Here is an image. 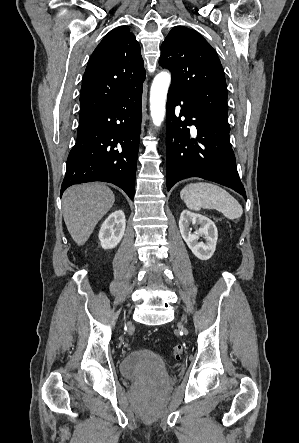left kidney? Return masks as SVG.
<instances>
[{"label": "left kidney", "mask_w": 299, "mask_h": 443, "mask_svg": "<svg viewBox=\"0 0 299 443\" xmlns=\"http://www.w3.org/2000/svg\"><path fill=\"white\" fill-rule=\"evenodd\" d=\"M191 223L200 225L195 233L190 231ZM179 229L182 238L198 259L208 260L212 257L218 239L217 227L212 220L201 214L183 210L179 219ZM200 236H204L205 242H198Z\"/></svg>", "instance_id": "5707ae66"}]
</instances>
